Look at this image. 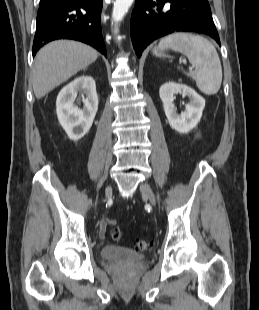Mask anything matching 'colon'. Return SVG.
Here are the masks:
<instances>
[{
	"instance_id": "obj_1",
	"label": "colon",
	"mask_w": 259,
	"mask_h": 310,
	"mask_svg": "<svg viewBox=\"0 0 259 310\" xmlns=\"http://www.w3.org/2000/svg\"><path fill=\"white\" fill-rule=\"evenodd\" d=\"M116 224L117 222L115 219H108L105 221L106 226L112 227V229L110 230V235L112 239L115 241H119L122 237V233L118 228H116ZM151 246H152L151 241L138 240L134 244V250L138 252H144V251L149 250Z\"/></svg>"
}]
</instances>
